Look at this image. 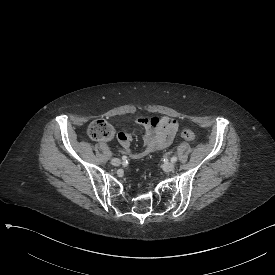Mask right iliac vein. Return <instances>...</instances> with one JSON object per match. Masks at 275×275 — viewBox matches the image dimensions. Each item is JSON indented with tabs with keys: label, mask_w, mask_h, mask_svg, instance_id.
Wrapping results in <instances>:
<instances>
[{
	"label": "right iliac vein",
	"mask_w": 275,
	"mask_h": 275,
	"mask_svg": "<svg viewBox=\"0 0 275 275\" xmlns=\"http://www.w3.org/2000/svg\"><path fill=\"white\" fill-rule=\"evenodd\" d=\"M111 163L114 165V166H118L121 164V160L119 158H113L111 160Z\"/></svg>",
	"instance_id": "right-iliac-vein-1"
}]
</instances>
